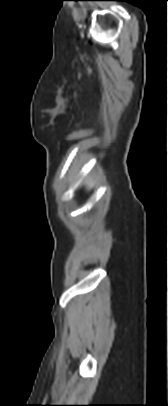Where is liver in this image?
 <instances>
[{
    "label": "liver",
    "instance_id": "1",
    "mask_svg": "<svg viewBox=\"0 0 168 406\" xmlns=\"http://www.w3.org/2000/svg\"><path fill=\"white\" fill-rule=\"evenodd\" d=\"M87 184H88V187H89V188L92 186V183H91V182H87Z\"/></svg>",
    "mask_w": 168,
    "mask_h": 406
}]
</instances>
